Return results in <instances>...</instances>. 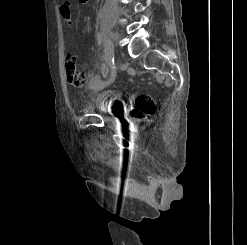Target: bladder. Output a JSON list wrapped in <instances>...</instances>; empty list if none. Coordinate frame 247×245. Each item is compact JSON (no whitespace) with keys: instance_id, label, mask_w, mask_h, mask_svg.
Wrapping results in <instances>:
<instances>
[{"instance_id":"bladder-1","label":"bladder","mask_w":247,"mask_h":245,"mask_svg":"<svg viewBox=\"0 0 247 245\" xmlns=\"http://www.w3.org/2000/svg\"><path fill=\"white\" fill-rule=\"evenodd\" d=\"M120 101V95L114 91H100L95 94L92 101V109L101 113L108 109L114 110Z\"/></svg>"}]
</instances>
